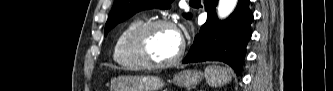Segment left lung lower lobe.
<instances>
[{
    "label": "left lung lower lobe",
    "instance_id": "0a47b994",
    "mask_svg": "<svg viewBox=\"0 0 333 91\" xmlns=\"http://www.w3.org/2000/svg\"><path fill=\"white\" fill-rule=\"evenodd\" d=\"M217 3L218 0H205L207 21L195 37L183 63L223 61L239 75L246 45L251 38L253 14L249 9V0H239L235 11L224 21L216 17Z\"/></svg>",
    "mask_w": 333,
    "mask_h": 91
}]
</instances>
